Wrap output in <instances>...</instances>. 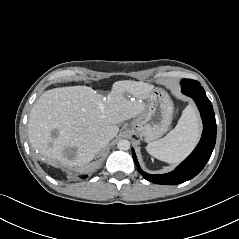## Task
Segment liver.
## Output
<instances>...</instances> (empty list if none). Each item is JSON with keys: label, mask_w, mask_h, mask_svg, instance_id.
Wrapping results in <instances>:
<instances>
[{"label": "liver", "mask_w": 239, "mask_h": 239, "mask_svg": "<svg viewBox=\"0 0 239 239\" xmlns=\"http://www.w3.org/2000/svg\"><path fill=\"white\" fill-rule=\"evenodd\" d=\"M153 90V85L131 80L115 82L107 96L87 86L47 90L29 114V141L49 163L86 165L100 151L102 138L112 140L119 132L117 124L146 109L142 100ZM55 130L57 136L52 135ZM69 148L75 150L72 159L65 154Z\"/></svg>", "instance_id": "6515ba94"}]
</instances>
